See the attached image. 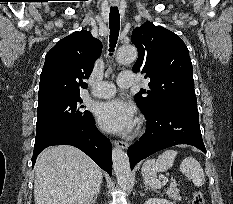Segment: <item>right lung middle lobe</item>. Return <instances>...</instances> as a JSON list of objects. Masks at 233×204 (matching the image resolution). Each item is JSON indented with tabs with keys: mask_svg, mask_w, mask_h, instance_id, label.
Returning a JSON list of instances; mask_svg holds the SVG:
<instances>
[{
	"mask_svg": "<svg viewBox=\"0 0 233 204\" xmlns=\"http://www.w3.org/2000/svg\"><path fill=\"white\" fill-rule=\"evenodd\" d=\"M38 102L36 138L63 127L78 125L92 116L80 105V95L56 96Z\"/></svg>",
	"mask_w": 233,
	"mask_h": 204,
	"instance_id": "1",
	"label": "right lung middle lobe"
}]
</instances>
